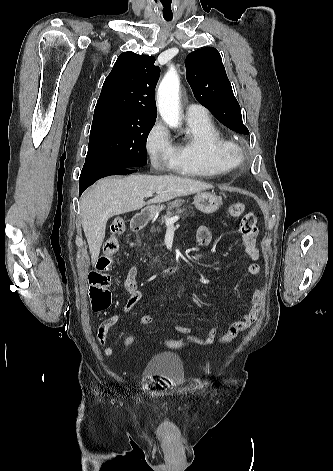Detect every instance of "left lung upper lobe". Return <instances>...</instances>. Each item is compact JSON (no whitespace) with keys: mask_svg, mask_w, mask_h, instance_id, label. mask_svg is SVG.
Returning <instances> with one entry per match:
<instances>
[{"mask_svg":"<svg viewBox=\"0 0 333 471\" xmlns=\"http://www.w3.org/2000/svg\"><path fill=\"white\" fill-rule=\"evenodd\" d=\"M185 65L187 81L198 102L225 126L249 134L219 52L212 47L196 50L187 56Z\"/></svg>","mask_w":333,"mask_h":471,"instance_id":"1","label":"left lung upper lobe"}]
</instances>
